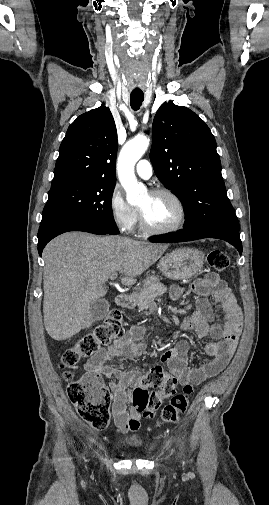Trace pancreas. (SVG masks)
Here are the masks:
<instances>
[{
	"label": "pancreas",
	"instance_id": "cf45deb5",
	"mask_svg": "<svg viewBox=\"0 0 269 505\" xmlns=\"http://www.w3.org/2000/svg\"><path fill=\"white\" fill-rule=\"evenodd\" d=\"M166 291L167 288L160 282H156L149 287L141 289L137 297L139 310L148 309L154 303L155 297L162 295Z\"/></svg>",
	"mask_w": 269,
	"mask_h": 505
}]
</instances>
